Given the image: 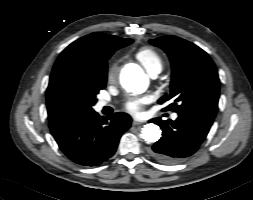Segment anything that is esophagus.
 Wrapping results in <instances>:
<instances>
[{
    "mask_svg": "<svg viewBox=\"0 0 253 200\" xmlns=\"http://www.w3.org/2000/svg\"><path fill=\"white\" fill-rule=\"evenodd\" d=\"M141 124H142V122L137 121V120H134V121L132 122V125H133V126H139V125H141Z\"/></svg>",
    "mask_w": 253,
    "mask_h": 200,
    "instance_id": "1",
    "label": "esophagus"
}]
</instances>
